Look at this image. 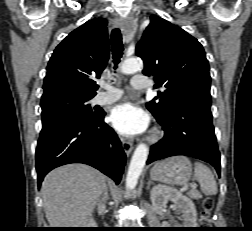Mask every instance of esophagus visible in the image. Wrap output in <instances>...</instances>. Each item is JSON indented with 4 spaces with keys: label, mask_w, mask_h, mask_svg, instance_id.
I'll return each mask as SVG.
<instances>
[{
    "label": "esophagus",
    "mask_w": 252,
    "mask_h": 231,
    "mask_svg": "<svg viewBox=\"0 0 252 231\" xmlns=\"http://www.w3.org/2000/svg\"><path fill=\"white\" fill-rule=\"evenodd\" d=\"M114 25L116 27H123L124 25L123 19L116 17L114 20ZM121 142L124 152L126 153V155H129L133 150V142L125 138H121Z\"/></svg>",
    "instance_id": "34e87169"
}]
</instances>
